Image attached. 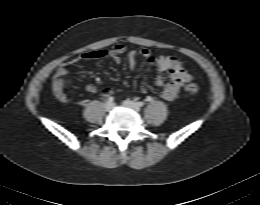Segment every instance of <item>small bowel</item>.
<instances>
[{"label":"small bowel","mask_w":260,"mask_h":205,"mask_svg":"<svg viewBox=\"0 0 260 205\" xmlns=\"http://www.w3.org/2000/svg\"><path fill=\"white\" fill-rule=\"evenodd\" d=\"M125 52L126 47L122 44H118L108 53L104 51L88 52L82 55V59L90 60L108 56L114 62L119 63L122 59V55ZM139 54H141V56L149 64L156 68L158 75L155 79V84L161 88L162 98L167 101L174 100L177 97L182 85L190 80V75L183 69L179 60L173 55L155 56L148 49H143L140 52L137 50H131L127 57L130 69H133L138 65ZM76 62L77 60L75 59L63 62L53 75L51 84L52 93L54 97L62 103H66L68 101V96L64 88L70 76V68ZM163 74H168V81H165ZM140 89L142 92H146V85L142 83L140 85ZM86 90L89 93H96L97 87L94 84H88L86 85ZM112 93L113 90L109 87H105L102 90V95L105 97L110 96Z\"/></svg>","instance_id":"c3829d8e"}]
</instances>
